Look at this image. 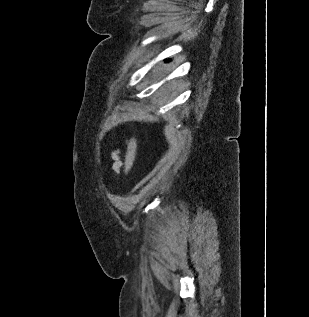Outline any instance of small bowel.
I'll use <instances>...</instances> for the list:
<instances>
[{"instance_id":"c3829d8e","label":"small bowel","mask_w":309,"mask_h":317,"mask_svg":"<svg viewBox=\"0 0 309 317\" xmlns=\"http://www.w3.org/2000/svg\"><path fill=\"white\" fill-rule=\"evenodd\" d=\"M111 159H112V169L115 174H118L123 164L120 159V151L118 149L114 150L111 153Z\"/></svg>"}]
</instances>
